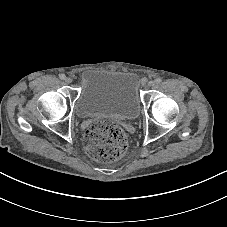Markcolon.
<instances>
[{
  "instance_id": "obj_1",
  "label": "colon",
  "mask_w": 227,
  "mask_h": 227,
  "mask_svg": "<svg viewBox=\"0 0 227 227\" xmlns=\"http://www.w3.org/2000/svg\"><path fill=\"white\" fill-rule=\"evenodd\" d=\"M88 154L100 162L116 161L127 149V137L116 123L103 121L92 124L85 133Z\"/></svg>"
}]
</instances>
